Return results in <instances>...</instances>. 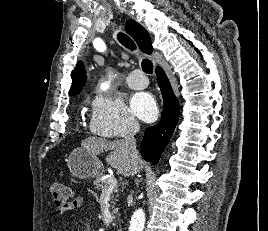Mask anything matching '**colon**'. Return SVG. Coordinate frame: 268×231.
I'll list each match as a JSON object with an SVG mask.
<instances>
[{"mask_svg":"<svg viewBox=\"0 0 268 231\" xmlns=\"http://www.w3.org/2000/svg\"><path fill=\"white\" fill-rule=\"evenodd\" d=\"M50 191L53 201L58 208H67L70 198V189L59 182H54L50 185Z\"/></svg>","mask_w":268,"mask_h":231,"instance_id":"obj_1","label":"colon"}]
</instances>
